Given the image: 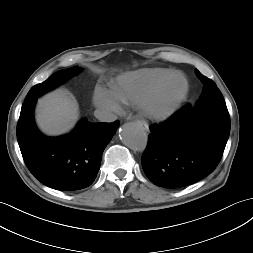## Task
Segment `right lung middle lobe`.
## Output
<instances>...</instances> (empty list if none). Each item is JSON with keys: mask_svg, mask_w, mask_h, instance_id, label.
I'll list each match as a JSON object with an SVG mask.
<instances>
[{"mask_svg": "<svg viewBox=\"0 0 253 253\" xmlns=\"http://www.w3.org/2000/svg\"><path fill=\"white\" fill-rule=\"evenodd\" d=\"M80 71L81 69L78 66H75L73 68L61 70L52 74L46 81L32 87L27 94L25 101L33 97H39L45 92L54 89L66 79L75 76Z\"/></svg>", "mask_w": 253, "mask_h": 253, "instance_id": "dd1d6c3e", "label": "right lung middle lobe"}]
</instances>
